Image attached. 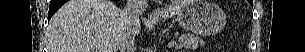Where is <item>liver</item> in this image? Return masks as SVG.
Returning <instances> with one entry per match:
<instances>
[{"instance_id":"6515ba94","label":"liver","mask_w":305,"mask_h":52,"mask_svg":"<svg viewBox=\"0 0 305 52\" xmlns=\"http://www.w3.org/2000/svg\"><path fill=\"white\" fill-rule=\"evenodd\" d=\"M189 0L164 9L170 18ZM122 10L108 0H69L52 17L48 26V52H116L124 31ZM140 31V23L135 28Z\"/></svg>"}]
</instances>
